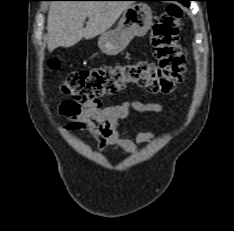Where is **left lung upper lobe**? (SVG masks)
<instances>
[{
	"label": "left lung upper lobe",
	"mask_w": 234,
	"mask_h": 231,
	"mask_svg": "<svg viewBox=\"0 0 234 231\" xmlns=\"http://www.w3.org/2000/svg\"><path fill=\"white\" fill-rule=\"evenodd\" d=\"M183 1H191V0H183Z\"/></svg>",
	"instance_id": "5c2ea615"
}]
</instances>
